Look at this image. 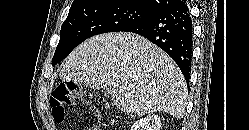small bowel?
<instances>
[{
    "mask_svg": "<svg viewBox=\"0 0 249 130\" xmlns=\"http://www.w3.org/2000/svg\"><path fill=\"white\" fill-rule=\"evenodd\" d=\"M84 130H101L98 126H92L90 128L84 129Z\"/></svg>",
    "mask_w": 249,
    "mask_h": 130,
    "instance_id": "obj_1",
    "label": "small bowel"
}]
</instances>
